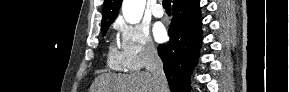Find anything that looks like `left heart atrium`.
Here are the masks:
<instances>
[{
  "label": "left heart atrium",
  "instance_id": "left-heart-atrium-1",
  "mask_svg": "<svg viewBox=\"0 0 289 92\" xmlns=\"http://www.w3.org/2000/svg\"><path fill=\"white\" fill-rule=\"evenodd\" d=\"M154 38L157 42H162L166 38V29L161 23H156L153 27Z\"/></svg>",
  "mask_w": 289,
  "mask_h": 92
}]
</instances>
